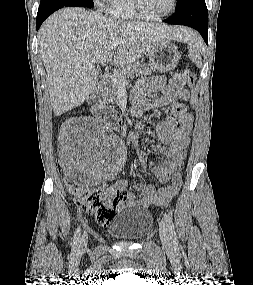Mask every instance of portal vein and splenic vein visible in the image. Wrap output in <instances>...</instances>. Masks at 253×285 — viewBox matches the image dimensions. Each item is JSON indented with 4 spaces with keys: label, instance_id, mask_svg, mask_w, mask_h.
I'll return each instance as SVG.
<instances>
[{
    "label": "portal vein and splenic vein",
    "instance_id": "1",
    "mask_svg": "<svg viewBox=\"0 0 253 285\" xmlns=\"http://www.w3.org/2000/svg\"><path fill=\"white\" fill-rule=\"evenodd\" d=\"M118 46H119L118 43H112L110 45V47L108 48V51H111ZM111 78L115 83L119 84L120 86H124V85L128 84V80H126V79H120V78H116L114 76H112Z\"/></svg>",
    "mask_w": 253,
    "mask_h": 285
}]
</instances>
